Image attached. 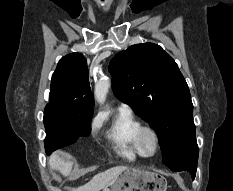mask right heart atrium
I'll return each instance as SVG.
<instances>
[{
	"instance_id": "right-heart-atrium-1",
	"label": "right heart atrium",
	"mask_w": 233,
	"mask_h": 191,
	"mask_svg": "<svg viewBox=\"0 0 233 191\" xmlns=\"http://www.w3.org/2000/svg\"><path fill=\"white\" fill-rule=\"evenodd\" d=\"M100 125H101L100 118H98V117L95 118L94 121H93V123H92V131L96 132L99 129Z\"/></svg>"
}]
</instances>
